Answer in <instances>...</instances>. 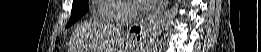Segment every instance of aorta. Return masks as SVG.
<instances>
[{"mask_svg":"<svg viewBox=\"0 0 261 52\" xmlns=\"http://www.w3.org/2000/svg\"><path fill=\"white\" fill-rule=\"evenodd\" d=\"M181 0H177L175 4L164 11L159 17H157L150 27L149 30L145 33V37H147V45L150 47L154 46L156 40L159 36L164 32V30L172 23L175 19L178 11L179 4ZM148 46L145 47V50H148Z\"/></svg>","mask_w":261,"mask_h":52,"instance_id":"1","label":"aorta"}]
</instances>
